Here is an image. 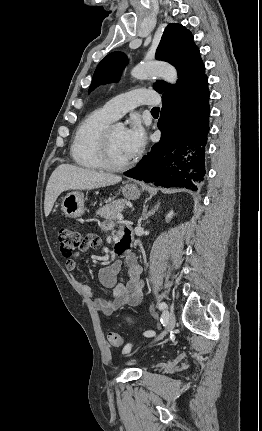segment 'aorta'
Listing matches in <instances>:
<instances>
[{"mask_svg": "<svg viewBox=\"0 0 262 431\" xmlns=\"http://www.w3.org/2000/svg\"><path fill=\"white\" fill-rule=\"evenodd\" d=\"M131 75L136 79L161 77L170 84H176L178 79L175 67L164 62H142L132 69ZM117 126L123 127L121 123H118Z\"/></svg>", "mask_w": 262, "mask_h": 431, "instance_id": "aorta-1", "label": "aorta"}]
</instances>
